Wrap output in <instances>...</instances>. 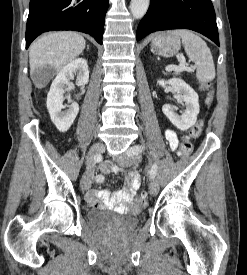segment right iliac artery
<instances>
[{"instance_id":"obj_1","label":"right iliac artery","mask_w":247,"mask_h":275,"mask_svg":"<svg viewBox=\"0 0 247 275\" xmlns=\"http://www.w3.org/2000/svg\"><path fill=\"white\" fill-rule=\"evenodd\" d=\"M94 160L96 161V162H102V157L98 154L97 156H95L94 157ZM95 179H96V181L97 182H102L103 181V176L102 175H97L96 177H95Z\"/></svg>"}]
</instances>
